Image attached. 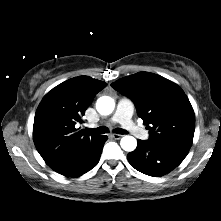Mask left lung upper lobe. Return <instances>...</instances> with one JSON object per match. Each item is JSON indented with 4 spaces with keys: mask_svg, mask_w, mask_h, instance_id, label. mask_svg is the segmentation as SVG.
Masks as SVG:
<instances>
[{
    "mask_svg": "<svg viewBox=\"0 0 221 221\" xmlns=\"http://www.w3.org/2000/svg\"><path fill=\"white\" fill-rule=\"evenodd\" d=\"M129 97L149 129V141L189 150L195 114L184 91L174 82L149 72L123 77L111 84Z\"/></svg>",
    "mask_w": 221,
    "mask_h": 221,
    "instance_id": "left-lung-upper-lobe-1",
    "label": "left lung upper lobe"
}]
</instances>
